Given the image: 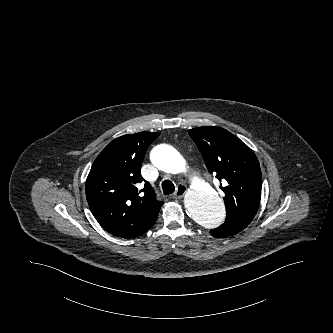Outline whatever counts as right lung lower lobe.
<instances>
[{
    "mask_svg": "<svg viewBox=\"0 0 333 333\" xmlns=\"http://www.w3.org/2000/svg\"><path fill=\"white\" fill-rule=\"evenodd\" d=\"M155 221H156V220H155ZM155 221H153V222L150 223V225H149V227H148L147 230H149V229L155 224Z\"/></svg>",
    "mask_w": 333,
    "mask_h": 333,
    "instance_id": "obj_1",
    "label": "right lung lower lobe"
}]
</instances>
